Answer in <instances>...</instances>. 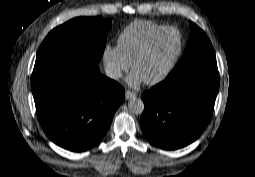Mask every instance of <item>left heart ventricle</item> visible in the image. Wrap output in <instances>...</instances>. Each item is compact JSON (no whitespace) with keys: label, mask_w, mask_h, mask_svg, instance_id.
<instances>
[{"label":"left heart ventricle","mask_w":255,"mask_h":177,"mask_svg":"<svg viewBox=\"0 0 255 177\" xmlns=\"http://www.w3.org/2000/svg\"><path fill=\"white\" fill-rule=\"evenodd\" d=\"M179 48V37L175 31L162 34L152 45L147 55L134 67L143 80L157 77L167 66Z\"/></svg>","instance_id":"1"}]
</instances>
